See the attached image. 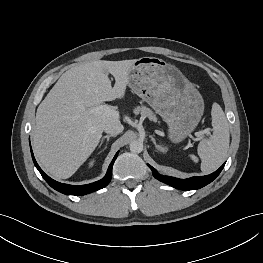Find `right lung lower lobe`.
Here are the masks:
<instances>
[{
    "label": "right lung lower lobe",
    "instance_id": "1",
    "mask_svg": "<svg viewBox=\"0 0 263 263\" xmlns=\"http://www.w3.org/2000/svg\"><path fill=\"white\" fill-rule=\"evenodd\" d=\"M118 153L119 152L116 153L111 164L109 165V168H108L106 175L101 180L94 182V183H91V184H87V185L74 186V185L59 183V182L53 180L52 178H50L49 176H47L42 171V169L39 167V165L37 164V162L33 156V152L31 150L33 162H34L36 168L41 173L42 177L46 180V182L52 188H54L55 190H57L63 194H66V195H85V194L97 191V190L102 189L105 186H107L109 184L111 178H112V167H113V164L117 158Z\"/></svg>",
    "mask_w": 263,
    "mask_h": 263
}]
</instances>
